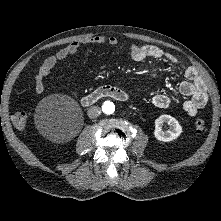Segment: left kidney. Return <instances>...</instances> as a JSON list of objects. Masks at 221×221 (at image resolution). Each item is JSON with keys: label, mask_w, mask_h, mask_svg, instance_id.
I'll return each mask as SVG.
<instances>
[{"label": "left kidney", "mask_w": 221, "mask_h": 221, "mask_svg": "<svg viewBox=\"0 0 221 221\" xmlns=\"http://www.w3.org/2000/svg\"><path fill=\"white\" fill-rule=\"evenodd\" d=\"M167 123L169 130H164L163 125ZM182 133V127L179 122L170 115L163 114L155 120L154 136L159 141L170 142Z\"/></svg>", "instance_id": "obj_1"}]
</instances>
